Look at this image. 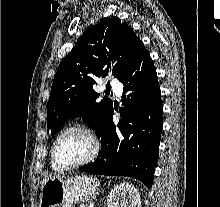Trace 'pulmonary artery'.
<instances>
[{
    "mask_svg": "<svg viewBox=\"0 0 220 207\" xmlns=\"http://www.w3.org/2000/svg\"><path fill=\"white\" fill-rule=\"evenodd\" d=\"M110 87L115 91L117 96H120L122 93V85L118 80H111Z\"/></svg>",
    "mask_w": 220,
    "mask_h": 207,
    "instance_id": "e3ab8cb5",
    "label": "pulmonary artery"
}]
</instances>
